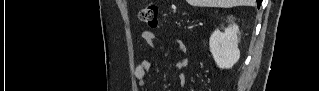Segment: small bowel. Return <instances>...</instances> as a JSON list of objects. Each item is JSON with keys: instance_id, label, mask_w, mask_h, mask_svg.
<instances>
[{"instance_id": "1", "label": "small bowel", "mask_w": 319, "mask_h": 91, "mask_svg": "<svg viewBox=\"0 0 319 91\" xmlns=\"http://www.w3.org/2000/svg\"><path fill=\"white\" fill-rule=\"evenodd\" d=\"M142 39L143 42L146 44V46H148L150 49H153L155 47V34L151 31H143L142 33ZM177 48L183 52L186 53L188 48L185 42H183L182 40H177L175 42ZM189 60L188 58H182L179 59L178 61L175 62L174 67L177 70H182L185 67L188 66ZM151 59L146 58L143 59L136 67L135 69V78L137 81V84L141 87L146 85V76L148 74V71L150 70L151 67ZM178 80H179V84L180 86H185L187 83V77L184 73H180L178 76Z\"/></svg>"}]
</instances>
